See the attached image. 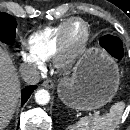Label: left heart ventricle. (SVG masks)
Wrapping results in <instances>:
<instances>
[{"instance_id": "1", "label": "left heart ventricle", "mask_w": 130, "mask_h": 130, "mask_svg": "<svg viewBox=\"0 0 130 130\" xmlns=\"http://www.w3.org/2000/svg\"><path fill=\"white\" fill-rule=\"evenodd\" d=\"M84 35V31L83 28L81 26V24L79 23H75L70 31V36H71V40L74 44H78Z\"/></svg>"}]
</instances>
